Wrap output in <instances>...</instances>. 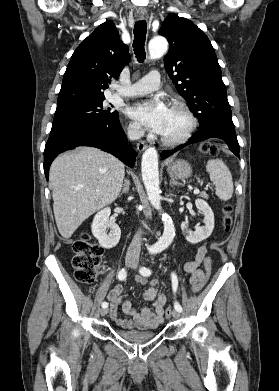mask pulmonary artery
<instances>
[{
    "label": "pulmonary artery",
    "instance_id": "e3ab8cb5",
    "mask_svg": "<svg viewBox=\"0 0 279 391\" xmlns=\"http://www.w3.org/2000/svg\"><path fill=\"white\" fill-rule=\"evenodd\" d=\"M161 83V76L157 71L147 73L141 80L127 88L118 87L116 94L119 96L133 97L156 91Z\"/></svg>",
    "mask_w": 279,
    "mask_h": 391
}]
</instances>
